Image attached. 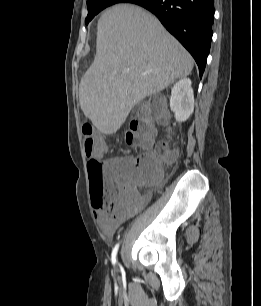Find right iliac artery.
Wrapping results in <instances>:
<instances>
[{"instance_id": "82829eb1", "label": "right iliac artery", "mask_w": 261, "mask_h": 306, "mask_svg": "<svg viewBox=\"0 0 261 306\" xmlns=\"http://www.w3.org/2000/svg\"><path fill=\"white\" fill-rule=\"evenodd\" d=\"M118 248H119V243L116 244V246L114 247L113 251H112V257H111V260H112V263L115 264L117 262L116 260V255H117V252H118Z\"/></svg>"}]
</instances>
